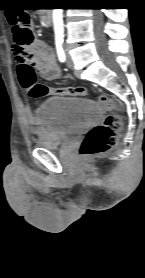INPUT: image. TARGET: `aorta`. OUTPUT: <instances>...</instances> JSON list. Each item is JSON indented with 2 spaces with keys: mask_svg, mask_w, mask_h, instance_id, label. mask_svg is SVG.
<instances>
[{
  "mask_svg": "<svg viewBox=\"0 0 145 278\" xmlns=\"http://www.w3.org/2000/svg\"><path fill=\"white\" fill-rule=\"evenodd\" d=\"M62 11H63L62 9L53 10L54 31L57 37H62L64 34Z\"/></svg>",
  "mask_w": 145,
  "mask_h": 278,
  "instance_id": "obj_1",
  "label": "aorta"
}]
</instances>
